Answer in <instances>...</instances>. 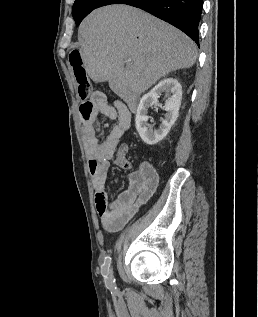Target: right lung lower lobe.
<instances>
[{
    "mask_svg": "<svg viewBox=\"0 0 258 317\" xmlns=\"http://www.w3.org/2000/svg\"><path fill=\"white\" fill-rule=\"evenodd\" d=\"M109 4H127L145 10L182 30L199 46L203 0H87L74 19L76 25L94 9Z\"/></svg>",
    "mask_w": 258,
    "mask_h": 317,
    "instance_id": "obj_1",
    "label": "right lung lower lobe"
}]
</instances>
